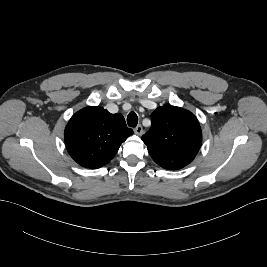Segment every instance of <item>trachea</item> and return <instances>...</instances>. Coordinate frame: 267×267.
<instances>
[{
	"mask_svg": "<svg viewBox=\"0 0 267 267\" xmlns=\"http://www.w3.org/2000/svg\"><path fill=\"white\" fill-rule=\"evenodd\" d=\"M127 123L130 127H136L138 123V116L135 112H130L127 116Z\"/></svg>",
	"mask_w": 267,
	"mask_h": 267,
	"instance_id": "obj_1",
	"label": "trachea"
}]
</instances>
